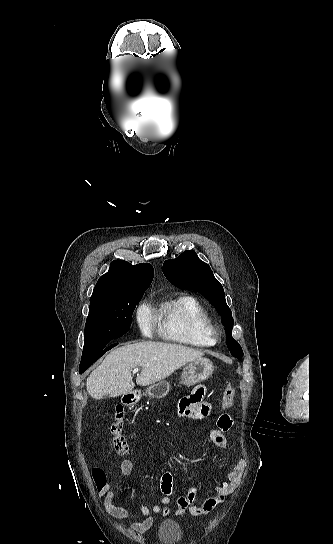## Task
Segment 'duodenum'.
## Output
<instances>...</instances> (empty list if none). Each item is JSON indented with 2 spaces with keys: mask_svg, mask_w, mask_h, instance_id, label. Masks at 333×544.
Wrapping results in <instances>:
<instances>
[{
  "mask_svg": "<svg viewBox=\"0 0 333 544\" xmlns=\"http://www.w3.org/2000/svg\"><path fill=\"white\" fill-rule=\"evenodd\" d=\"M124 402L127 403L128 405L132 404L134 402V398L132 395H126L125 398H124Z\"/></svg>",
  "mask_w": 333,
  "mask_h": 544,
  "instance_id": "obj_1",
  "label": "duodenum"
}]
</instances>
